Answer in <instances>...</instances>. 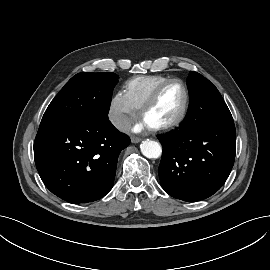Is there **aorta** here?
Segmentation results:
<instances>
[{
  "instance_id": "aorta-1",
  "label": "aorta",
  "mask_w": 270,
  "mask_h": 270,
  "mask_svg": "<svg viewBox=\"0 0 270 270\" xmlns=\"http://www.w3.org/2000/svg\"><path fill=\"white\" fill-rule=\"evenodd\" d=\"M142 154L150 159H156L161 156L162 148L160 144L153 140H144L140 145Z\"/></svg>"
}]
</instances>
